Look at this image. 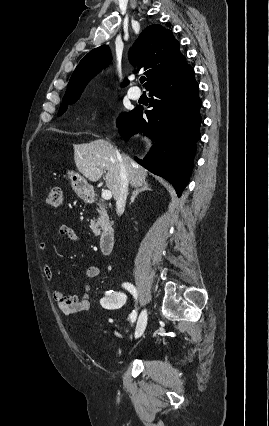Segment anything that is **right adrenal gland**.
I'll return each instance as SVG.
<instances>
[{"label":"right adrenal gland","instance_id":"right-adrenal-gland-1","mask_svg":"<svg viewBox=\"0 0 269 426\" xmlns=\"http://www.w3.org/2000/svg\"><path fill=\"white\" fill-rule=\"evenodd\" d=\"M144 191H152L150 185L147 182H145L142 185L135 188V190L132 192L130 204H132L134 202L135 198H137V196Z\"/></svg>","mask_w":269,"mask_h":426}]
</instances>
